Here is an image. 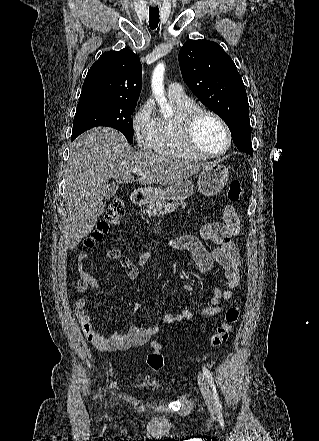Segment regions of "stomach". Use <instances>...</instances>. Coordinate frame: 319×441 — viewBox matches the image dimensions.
Listing matches in <instances>:
<instances>
[{"instance_id": "stomach-1", "label": "stomach", "mask_w": 319, "mask_h": 441, "mask_svg": "<svg viewBox=\"0 0 319 441\" xmlns=\"http://www.w3.org/2000/svg\"><path fill=\"white\" fill-rule=\"evenodd\" d=\"M229 178L228 168L218 163H210L205 166L199 175L198 191L205 196H213L219 193L226 185ZM193 194V183L189 180L182 181L164 190L152 191V199L155 202H178Z\"/></svg>"}]
</instances>
